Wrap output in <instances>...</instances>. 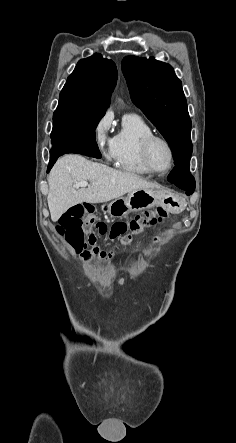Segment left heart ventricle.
I'll use <instances>...</instances> for the list:
<instances>
[{
  "label": "left heart ventricle",
  "instance_id": "1",
  "mask_svg": "<svg viewBox=\"0 0 236 443\" xmlns=\"http://www.w3.org/2000/svg\"><path fill=\"white\" fill-rule=\"evenodd\" d=\"M150 158L157 170H165L170 163V154L167 147L161 142H155L150 151Z\"/></svg>",
  "mask_w": 236,
  "mask_h": 443
}]
</instances>
